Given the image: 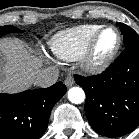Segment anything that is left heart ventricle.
Masks as SVG:
<instances>
[{"instance_id":"left-heart-ventricle-1","label":"left heart ventricle","mask_w":139,"mask_h":139,"mask_svg":"<svg viewBox=\"0 0 139 139\" xmlns=\"http://www.w3.org/2000/svg\"><path fill=\"white\" fill-rule=\"evenodd\" d=\"M117 44V34L114 30L105 31L98 39L95 58L103 59L108 56Z\"/></svg>"}]
</instances>
